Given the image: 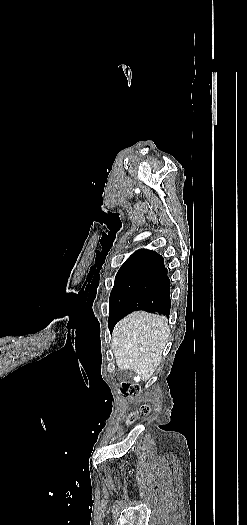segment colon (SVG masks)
Here are the masks:
<instances>
[{
  "label": "colon",
  "instance_id": "5ec220e1",
  "mask_svg": "<svg viewBox=\"0 0 247 525\" xmlns=\"http://www.w3.org/2000/svg\"><path fill=\"white\" fill-rule=\"evenodd\" d=\"M139 391V387L135 386L134 384H131L129 382H125L122 384V392L126 396H135L137 395ZM149 413V406L148 404H143L134 414H132L131 419H136L138 417H145Z\"/></svg>",
  "mask_w": 247,
  "mask_h": 525
}]
</instances>
